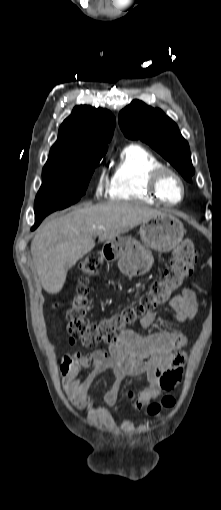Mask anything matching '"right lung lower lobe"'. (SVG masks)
<instances>
[{"mask_svg": "<svg viewBox=\"0 0 221 510\" xmlns=\"http://www.w3.org/2000/svg\"><path fill=\"white\" fill-rule=\"evenodd\" d=\"M47 215H39V216H35V224L34 226L31 228V230H35L39 224L41 223V221L46 217Z\"/></svg>", "mask_w": 221, "mask_h": 510, "instance_id": "right-lung-lower-lobe-1", "label": "right lung lower lobe"}]
</instances>
